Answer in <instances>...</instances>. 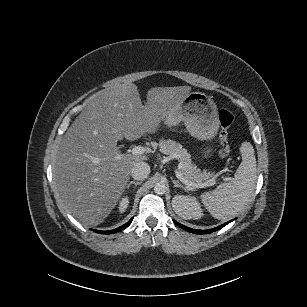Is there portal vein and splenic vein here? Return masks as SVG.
I'll use <instances>...</instances> for the list:
<instances>
[{
    "mask_svg": "<svg viewBox=\"0 0 307 307\" xmlns=\"http://www.w3.org/2000/svg\"><path fill=\"white\" fill-rule=\"evenodd\" d=\"M146 152V148L145 147H143V146H135L134 148H132V150H131V153L133 154V155H142V154H144ZM175 173H176V177L181 181V182H183L184 184H188V180L187 179H185L184 177H183V175H182V173L179 171V170H176L175 171ZM190 186H192L193 188H204L205 186H207L208 184L207 183H190L189 184ZM210 185H212V184H210Z\"/></svg>",
    "mask_w": 307,
    "mask_h": 307,
    "instance_id": "obj_1",
    "label": "portal vein and splenic vein"
}]
</instances>
